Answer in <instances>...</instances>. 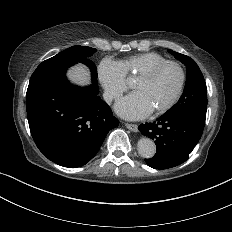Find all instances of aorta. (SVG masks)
<instances>
[{
    "label": "aorta",
    "mask_w": 232,
    "mask_h": 232,
    "mask_svg": "<svg viewBox=\"0 0 232 232\" xmlns=\"http://www.w3.org/2000/svg\"><path fill=\"white\" fill-rule=\"evenodd\" d=\"M138 153L144 158H152L156 153L155 143L150 138H141L137 144Z\"/></svg>",
    "instance_id": "aorta-1"
}]
</instances>
